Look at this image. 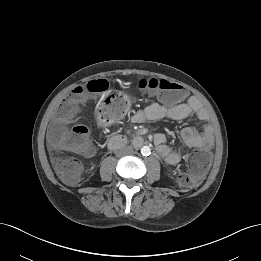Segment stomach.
I'll use <instances>...</instances> for the list:
<instances>
[{
    "label": "stomach",
    "instance_id": "1",
    "mask_svg": "<svg viewBox=\"0 0 261 261\" xmlns=\"http://www.w3.org/2000/svg\"><path fill=\"white\" fill-rule=\"evenodd\" d=\"M125 99L127 100L126 97H125ZM99 121H100V123L103 124V125H108V122H106V120H103V119L99 118Z\"/></svg>",
    "mask_w": 261,
    "mask_h": 261
}]
</instances>
